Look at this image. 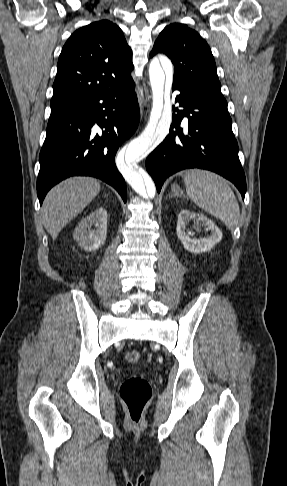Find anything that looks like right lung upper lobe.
Returning a JSON list of instances; mask_svg holds the SVG:
<instances>
[{"instance_id": "right-lung-upper-lobe-1", "label": "right lung upper lobe", "mask_w": 287, "mask_h": 486, "mask_svg": "<svg viewBox=\"0 0 287 486\" xmlns=\"http://www.w3.org/2000/svg\"><path fill=\"white\" fill-rule=\"evenodd\" d=\"M132 69V51L116 24L101 20L76 30L59 56L51 113L127 85Z\"/></svg>"}]
</instances>
